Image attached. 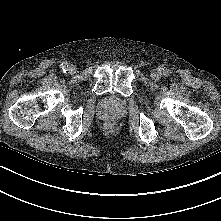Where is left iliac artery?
<instances>
[{
  "label": "left iliac artery",
  "mask_w": 221,
  "mask_h": 221,
  "mask_svg": "<svg viewBox=\"0 0 221 221\" xmlns=\"http://www.w3.org/2000/svg\"><path fill=\"white\" fill-rule=\"evenodd\" d=\"M163 74H164V75H168V71H167V70H165Z\"/></svg>",
  "instance_id": "left-iliac-artery-1"
}]
</instances>
